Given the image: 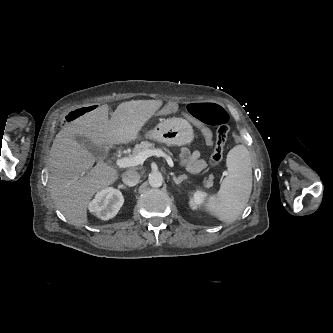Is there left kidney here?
<instances>
[{
    "instance_id": "left-kidney-1",
    "label": "left kidney",
    "mask_w": 333,
    "mask_h": 333,
    "mask_svg": "<svg viewBox=\"0 0 333 333\" xmlns=\"http://www.w3.org/2000/svg\"><path fill=\"white\" fill-rule=\"evenodd\" d=\"M206 195L203 191H196L193 195V198L190 200V206L192 209H196L198 205L203 201L204 196Z\"/></svg>"
}]
</instances>
